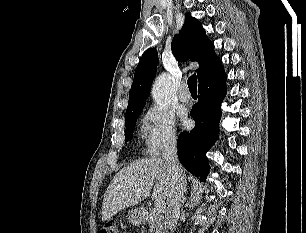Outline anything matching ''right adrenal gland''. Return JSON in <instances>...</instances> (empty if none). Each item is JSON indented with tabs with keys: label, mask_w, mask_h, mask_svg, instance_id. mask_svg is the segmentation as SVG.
Returning a JSON list of instances; mask_svg holds the SVG:
<instances>
[{
	"label": "right adrenal gland",
	"mask_w": 306,
	"mask_h": 233,
	"mask_svg": "<svg viewBox=\"0 0 306 233\" xmlns=\"http://www.w3.org/2000/svg\"><path fill=\"white\" fill-rule=\"evenodd\" d=\"M185 200H186V198H185V196H184V198H183V201H182V202L184 203V202H185Z\"/></svg>",
	"instance_id": "2a0ac1e0"
}]
</instances>
